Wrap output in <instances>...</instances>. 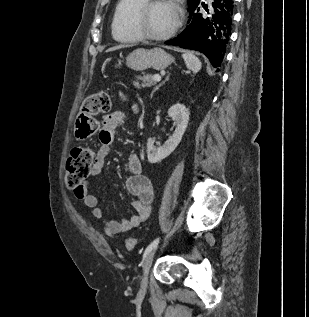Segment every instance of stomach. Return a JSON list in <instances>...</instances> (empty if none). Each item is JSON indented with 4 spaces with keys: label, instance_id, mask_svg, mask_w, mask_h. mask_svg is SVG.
<instances>
[{
    "label": "stomach",
    "instance_id": "0dacf381",
    "mask_svg": "<svg viewBox=\"0 0 309 317\" xmlns=\"http://www.w3.org/2000/svg\"><path fill=\"white\" fill-rule=\"evenodd\" d=\"M174 61L173 57L161 48L143 49L139 48L126 57V65L135 71H144L149 68L163 70ZM118 60V65H121Z\"/></svg>",
    "mask_w": 309,
    "mask_h": 317
}]
</instances>
